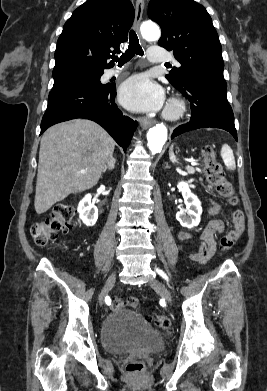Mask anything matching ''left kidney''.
I'll use <instances>...</instances> for the list:
<instances>
[{
  "mask_svg": "<svg viewBox=\"0 0 267 391\" xmlns=\"http://www.w3.org/2000/svg\"><path fill=\"white\" fill-rule=\"evenodd\" d=\"M177 187L182 192L186 209L177 212L176 219L180 222L181 226L189 229L198 226L202 214L201 202L191 192L188 183L184 181L179 182Z\"/></svg>",
  "mask_w": 267,
  "mask_h": 391,
  "instance_id": "5707ae66",
  "label": "left kidney"
}]
</instances>
